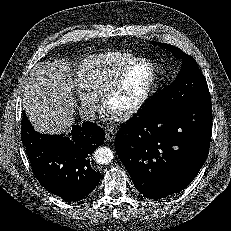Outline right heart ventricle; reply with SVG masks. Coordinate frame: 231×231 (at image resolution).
Returning <instances> with one entry per match:
<instances>
[{"mask_svg": "<svg viewBox=\"0 0 231 231\" xmlns=\"http://www.w3.org/2000/svg\"><path fill=\"white\" fill-rule=\"evenodd\" d=\"M138 59V56L118 52L89 56L78 65L76 80L89 95L99 98L106 85Z\"/></svg>", "mask_w": 231, "mask_h": 231, "instance_id": "obj_1", "label": "right heart ventricle"}]
</instances>
